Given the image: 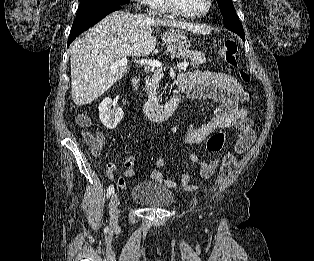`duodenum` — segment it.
I'll list each match as a JSON object with an SVG mask.
<instances>
[{
  "label": "duodenum",
  "instance_id": "obj_1",
  "mask_svg": "<svg viewBox=\"0 0 314 261\" xmlns=\"http://www.w3.org/2000/svg\"><path fill=\"white\" fill-rule=\"evenodd\" d=\"M138 86L139 79L135 77L131 81V90L136 100H138ZM180 99H181L180 95H174L164 105L145 103L144 104L145 113L150 119L157 122L168 120L177 109L180 103Z\"/></svg>",
  "mask_w": 314,
  "mask_h": 261
}]
</instances>
